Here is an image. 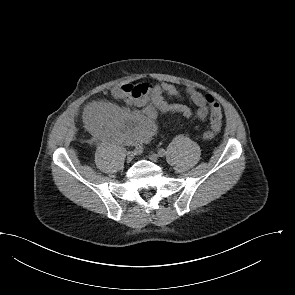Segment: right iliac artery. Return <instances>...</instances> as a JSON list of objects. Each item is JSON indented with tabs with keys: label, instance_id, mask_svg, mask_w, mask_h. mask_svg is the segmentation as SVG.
Returning a JSON list of instances; mask_svg holds the SVG:
<instances>
[{
	"label": "right iliac artery",
	"instance_id": "82829eb1",
	"mask_svg": "<svg viewBox=\"0 0 295 295\" xmlns=\"http://www.w3.org/2000/svg\"><path fill=\"white\" fill-rule=\"evenodd\" d=\"M135 151H136L137 153H140V152L142 151V147H141L140 145H137V146L135 147Z\"/></svg>",
	"mask_w": 295,
	"mask_h": 295
}]
</instances>
